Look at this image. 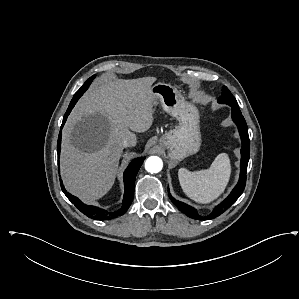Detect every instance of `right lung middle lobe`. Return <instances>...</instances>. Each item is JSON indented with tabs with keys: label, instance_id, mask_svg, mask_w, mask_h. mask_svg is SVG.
Masks as SVG:
<instances>
[{
	"label": "right lung middle lobe",
	"instance_id": "dd1d6c3e",
	"mask_svg": "<svg viewBox=\"0 0 299 299\" xmlns=\"http://www.w3.org/2000/svg\"><path fill=\"white\" fill-rule=\"evenodd\" d=\"M95 75L90 77L84 84L83 86L75 93L74 97L81 96L89 87L91 84L92 80L94 79Z\"/></svg>",
	"mask_w": 299,
	"mask_h": 299
}]
</instances>
